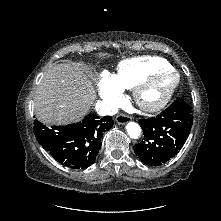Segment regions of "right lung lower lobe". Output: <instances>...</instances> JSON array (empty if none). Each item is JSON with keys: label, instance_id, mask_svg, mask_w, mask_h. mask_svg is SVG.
I'll use <instances>...</instances> for the list:
<instances>
[{"label": "right lung lower lobe", "instance_id": "right-lung-lower-lobe-1", "mask_svg": "<svg viewBox=\"0 0 221 221\" xmlns=\"http://www.w3.org/2000/svg\"><path fill=\"white\" fill-rule=\"evenodd\" d=\"M113 123L110 116L88 115L82 122L49 128L35 120L34 134L43 148L63 166L84 169L95 162L103 134Z\"/></svg>", "mask_w": 221, "mask_h": 221}]
</instances>
